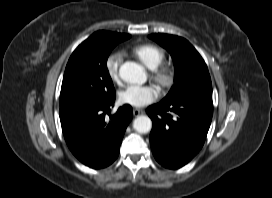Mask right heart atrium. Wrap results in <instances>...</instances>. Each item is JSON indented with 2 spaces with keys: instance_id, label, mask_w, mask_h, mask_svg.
<instances>
[{
  "instance_id": "d8ad5b80",
  "label": "right heart atrium",
  "mask_w": 272,
  "mask_h": 198,
  "mask_svg": "<svg viewBox=\"0 0 272 198\" xmlns=\"http://www.w3.org/2000/svg\"><path fill=\"white\" fill-rule=\"evenodd\" d=\"M122 59L123 56L120 52H113L106 59V72L113 82H117L119 80V69Z\"/></svg>"
}]
</instances>
